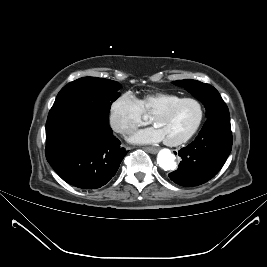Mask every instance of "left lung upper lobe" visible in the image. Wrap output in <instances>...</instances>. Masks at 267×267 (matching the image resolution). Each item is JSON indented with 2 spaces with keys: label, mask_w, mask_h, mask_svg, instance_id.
Wrapping results in <instances>:
<instances>
[{
  "label": "left lung upper lobe",
  "mask_w": 267,
  "mask_h": 267,
  "mask_svg": "<svg viewBox=\"0 0 267 267\" xmlns=\"http://www.w3.org/2000/svg\"><path fill=\"white\" fill-rule=\"evenodd\" d=\"M173 83L177 86L184 87L204 104L207 118L229 116L228 107L213 86L191 79L173 81Z\"/></svg>",
  "instance_id": "5c2ea615"
}]
</instances>
